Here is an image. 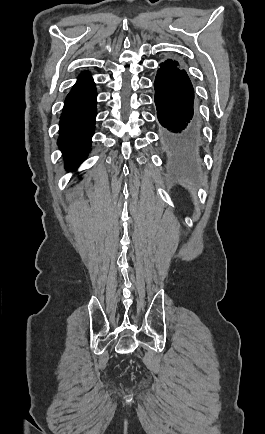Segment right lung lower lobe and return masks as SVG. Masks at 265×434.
<instances>
[{
	"label": "right lung lower lobe",
	"instance_id": "98d812e1",
	"mask_svg": "<svg viewBox=\"0 0 265 434\" xmlns=\"http://www.w3.org/2000/svg\"><path fill=\"white\" fill-rule=\"evenodd\" d=\"M95 83L88 71L78 76L67 95L60 117L58 146L65 159V169L77 168L87 157L96 118Z\"/></svg>",
	"mask_w": 265,
	"mask_h": 434
}]
</instances>
